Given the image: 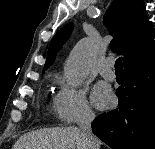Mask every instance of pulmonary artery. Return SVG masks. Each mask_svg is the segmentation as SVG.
<instances>
[{
	"mask_svg": "<svg viewBox=\"0 0 155 149\" xmlns=\"http://www.w3.org/2000/svg\"><path fill=\"white\" fill-rule=\"evenodd\" d=\"M113 66H114L113 58H107L100 67L101 75L104 78L111 81H113L116 78L115 72L113 70Z\"/></svg>",
	"mask_w": 155,
	"mask_h": 149,
	"instance_id": "pulmonary-artery-1",
	"label": "pulmonary artery"
}]
</instances>
